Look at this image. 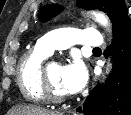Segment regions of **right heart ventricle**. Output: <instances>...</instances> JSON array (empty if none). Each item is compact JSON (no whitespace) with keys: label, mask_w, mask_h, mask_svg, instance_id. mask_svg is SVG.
Segmentation results:
<instances>
[{"label":"right heart ventricle","mask_w":131,"mask_h":115,"mask_svg":"<svg viewBox=\"0 0 131 115\" xmlns=\"http://www.w3.org/2000/svg\"><path fill=\"white\" fill-rule=\"evenodd\" d=\"M36 45L26 51L20 58L17 67V83L23 98L29 102L41 103L44 100L40 90V69L49 56Z\"/></svg>","instance_id":"1"}]
</instances>
